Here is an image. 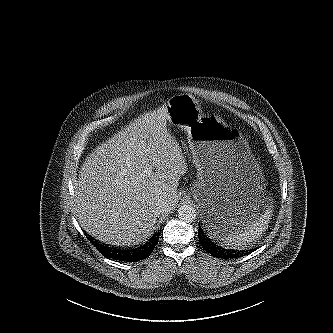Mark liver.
Returning <instances> with one entry per match:
<instances>
[{"label":"liver","instance_id":"1","mask_svg":"<svg viewBox=\"0 0 333 333\" xmlns=\"http://www.w3.org/2000/svg\"><path fill=\"white\" fill-rule=\"evenodd\" d=\"M166 120V106L147 113L85 159L75 187V213L95 239L138 245L154 233L158 201L166 202L165 212L176 206L187 164Z\"/></svg>","mask_w":333,"mask_h":333}]
</instances>
